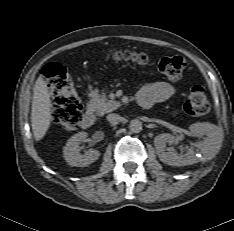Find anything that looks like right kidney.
Returning a JSON list of instances; mask_svg holds the SVG:
<instances>
[{"instance_id": "right-kidney-1", "label": "right kidney", "mask_w": 234, "mask_h": 231, "mask_svg": "<svg viewBox=\"0 0 234 231\" xmlns=\"http://www.w3.org/2000/svg\"><path fill=\"white\" fill-rule=\"evenodd\" d=\"M88 134L84 131L73 135L66 143L63 149V155L66 162L71 166L85 167L95 162L100 152L98 150L90 149L84 154L80 153L79 144L88 141Z\"/></svg>"}]
</instances>
